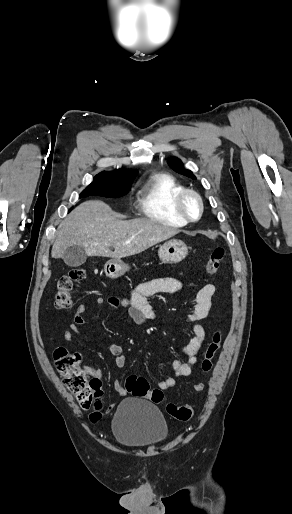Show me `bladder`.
Returning a JSON list of instances; mask_svg holds the SVG:
<instances>
[{
    "label": "bladder",
    "instance_id": "obj_1",
    "mask_svg": "<svg viewBox=\"0 0 292 514\" xmlns=\"http://www.w3.org/2000/svg\"><path fill=\"white\" fill-rule=\"evenodd\" d=\"M112 432L121 445L143 448L164 441L169 435V427L157 406L142 399L128 398L114 414Z\"/></svg>",
    "mask_w": 292,
    "mask_h": 514
}]
</instances>
